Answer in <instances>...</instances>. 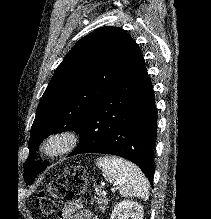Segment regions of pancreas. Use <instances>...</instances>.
I'll list each match as a JSON object with an SVG mask.
<instances>
[{
    "mask_svg": "<svg viewBox=\"0 0 211 219\" xmlns=\"http://www.w3.org/2000/svg\"><path fill=\"white\" fill-rule=\"evenodd\" d=\"M96 195L99 196V198L98 197L96 198V202L99 205V209L104 210L105 207L102 205H106L108 203V199L104 196H101L100 191H96Z\"/></svg>",
    "mask_w": 211,
    "mask_h": 219,
    "instance_id": "pancreas-1",
    "label": "pancreas"
}]
</instances>
